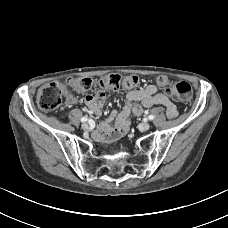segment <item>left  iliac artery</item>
I'll list each match as a JSON object with an SVG mask.
<instances>
[{"label":"left iliac artery","instance_id":"left-iliac-artery-1","mask_svg":"<svg viewBox=\"0 0 228 228\" xmlns=\"http://www.w3.org/2000/svg\"><path fill=\"white\" fill-rule=\"evenodd\" d=\"M148 119H149V120H153V119H154V116H153V115H149V116H148Z\"/></svg>","mask_w":228,"mask_h":228}]
</instances>
